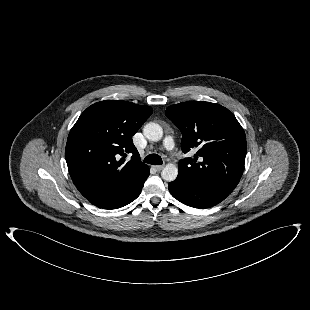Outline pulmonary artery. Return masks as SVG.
I'll return each instance as SVG.
<instances>
[{"label": "pulmonary artery", "instance_id": "pulmonary-artery-1", "mask_svg": "<svg viewBox=\"0 0 310 310\" xmlns=\"http://www.w3.org/2000/svg\"><path fill=\"white\" fill-rule=\"evenodd\" d=\"M163 145L167 151H173L175 149V143L172 137L168 136L164 139Z\"/></svg>", "mask_w": 310, "mask_h": 310}]
</instances>
